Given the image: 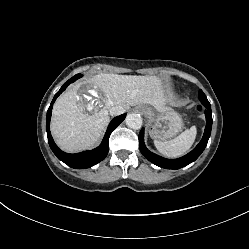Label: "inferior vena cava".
I'll return each mask as SVG.
<instances>
[{
    "label": "inferior vena cava",
    "mask_w": 249,
    "mask_h": 249,
    "mask_svg": "<svg viewBox=\"0 0 249 249\" xmlns=\"http://www.w3.org/2000/svg\"><path fill=\"white\" fill-rule=\"evenodd\" d=\"M124 112H125V109L122 106H114V107L110 108V110H109V114L111 116L121 115Z\"/></svg>",
    "instance_id": "obj_1"
}]
</instances>
